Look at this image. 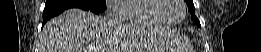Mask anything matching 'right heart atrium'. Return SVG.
<instances>
[{
	"mask_svg": "<svg viewBox=\"0 0 261 52\" xmlns=\"http://www.w3.org/2000/svg\"><path fill=\"white\" fill-rule=\"evenodd\" d=\"M123 0H108L106 2V7H107V13L110 16L118 15L117 11L115 10V6L118 4H121ZM119 16V15H118Z\"/></svg>",
	"mask_w": 261,
	"mask_h": 52,
	"instance_id": "1",
	"label": "right heart atrium"
}]
</instances>
